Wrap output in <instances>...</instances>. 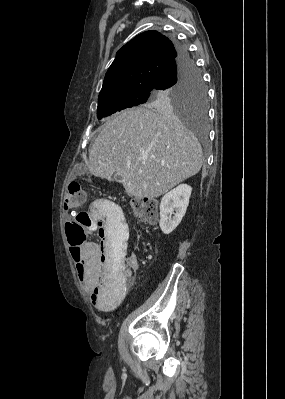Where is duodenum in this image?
Here are the masks:
<instances>
[{"label":"duodenum","mask_w":285,"mask_h":399,"mask_svg":"<svg viewBox=\"0 0 285 399\" xmlns=\"http://www.w3.org/2000/svg\"><path fill=\"white\" fill-rule=\"evenodd\" d=\"M107 216H108V212H107V211H105V212L103 213V218H104V219H106V218H107Z\"/></svg>","instance_id":"duodenum-1"}]
</instances>
